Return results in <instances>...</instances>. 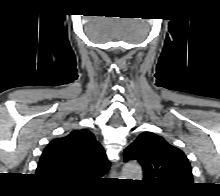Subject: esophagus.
<instances>
[{
  "instance_id": "1",
  "label": "esophagus",
  "mask_w": 220,
  "mask_h": 196,
  "mask_svg": "<svg viewBox=\"0 0 220 196\" xmlns=\"http://www.w3.org/2000/svg\"><path fill=\"white\" fill-rule=\"evenodd\" d=\"M119 163L116 162L115 164H113L112 169H111V173L110 176L112 178H119Z\"/></svg>"
}]
</instances>
